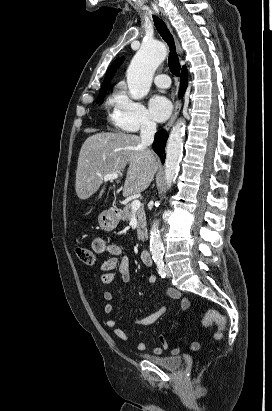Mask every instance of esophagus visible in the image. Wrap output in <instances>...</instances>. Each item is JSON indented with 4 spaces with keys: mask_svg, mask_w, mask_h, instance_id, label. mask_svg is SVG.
<instances>
[{
    "mask_svg": "<svg viewBox=\"0 0 272 411\" xmlns=\"http://www.w3.org/2000/svg\"><path fill=\"white\" fill-rule=\"evenodd\" d=\"M166 23L169 26V28L171 29V26H170V24L167 20H166ZM171 31H172V29H171ZM175 41H176L177 51L181 55L182 54L181 44H180L179 40L176 37H175ZM181 106H182L181 100H178L175 104V108H174V111L171 115V118L169 119V121L165 125V130H169L171 128V126L173 125L175 119L177 118V116L180 112Z\"/></svg>",
    "mask_w": 272,
    "mask_h": 411,
    "instance_id": "34e87169",
    "label": "esophagus"
}]
</instances>
